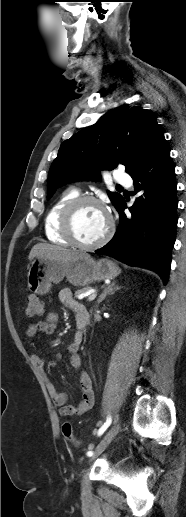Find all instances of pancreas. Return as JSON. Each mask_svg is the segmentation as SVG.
Here are the masks:
<instances>
[{
    "mask_svg": "<svg viewBox=\"0 0 186 517\" xmlns=\"http://www.w3.org/2000/svg\"><path fill=\"white\" fill-rule=\"evenodd\" d=\"M92 288L91 287H84L82 289H78L77 291H75V297L78 298L81 294L83 293H86L87 291H90Z\"/></svg>",
    "mask_w": 186,
    "mask_h": 517,
    "instance_id": "1",
    "label": "pancreas"
}]
</instances>
